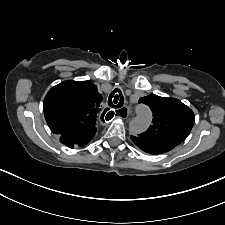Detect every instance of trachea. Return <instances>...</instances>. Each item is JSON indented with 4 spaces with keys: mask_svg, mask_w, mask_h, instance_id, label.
Instances as JSON below:
<instances>
[{
    "mask_svg": "<svg viewBox=\"0 0 225 225\" xmlns=\"http://www.w3.org/2000/svg\"><path fill=\"white\" fill-rule=\"evenodd\" d=\"M124 104V97L120 91H113L109 95L108 105L113 108H121ZM110 114L111 118L114 116V112L111 111ZM107 114V115H108Z\"/></svg>",
    "mask_w": 225,
    "mask_h": 225,
    "instance_id": "obj_1",
    "label": "trachea"
}]
</instances>
